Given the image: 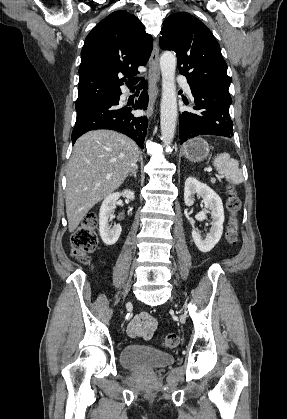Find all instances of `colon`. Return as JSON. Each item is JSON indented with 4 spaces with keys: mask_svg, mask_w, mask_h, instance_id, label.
Returning <instances> with one entry per match:
<instances>
[{
    "mask_svg": "<svg viewBox=\"0 0 287 419\" xmlns=\"http://www.w3.org/2000/svg\"><path fill=\"white\" fill-rule=\"evenodd\" d=\"M226 207L230 215L226 238L230 244L234 245L238 238V213L241 208V201L231 187L228 189ZM97 221L96 213H89L71 237L72 255L82 262H86L87 256L97 247ZM178 343L179 338L174 333H168L161 339L162 346L169 349L175 348Z\"/></svg>",
    "mask_w": 287,
    "mask_h": 419,
    "instance_id": "obj_1",
    "label": "colon"
}]
</instances>
